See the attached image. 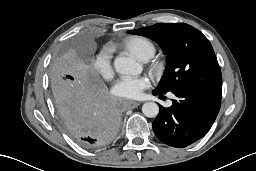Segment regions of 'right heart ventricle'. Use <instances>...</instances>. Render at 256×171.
Instances as JSON below:
<instances>
[{"label": "right heart ventricle", "instance_id": "e07e8e85", "mask_svg": "<svg viewBox=\"0 0 256 171\" xmlns=\"http://www.w3.org/2000/svg\"><path fill=\"white\" fill-rule=\"evenodd\" d=\"M122 46L138 59L143 61L153 57L156 51L153 42L142 36H134L128 38L123 42Z\"/></svg>", "mask_w": 256, "mask_h": 171}]
</instances>
